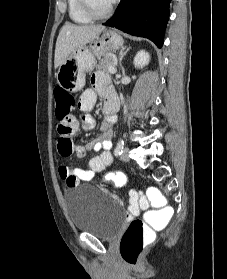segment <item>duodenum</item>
<instances>
[{"mask_svg":"<svg viewBox=\"0 0 227 279\" xmlns=\"http://www.w3.org/2000/svg\"><path fill=\"white\" fill-rule=\"evenodd\" d=\"M105 112L109 116H114L118 112V104L115 101H109L106 105Z\"/></svg>","mask_w":227,"mask_h":279,"instance_id":"duodenum-1","label":"duodenum"}]
</instances>
